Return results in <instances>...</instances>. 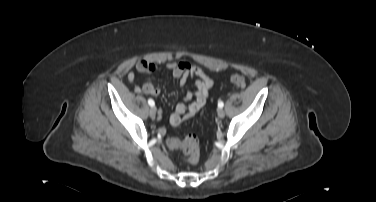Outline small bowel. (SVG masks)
Listing matches in <instances>:
<instances>
[{"label":"small bowel","instance_id":"small-bowel-1","mask_svg":"<svg viewBox=\"0 0 376 202\" xmlns=\"http://www.w3.org/2000/svg\"><path fill=\"white\" fill-rule=\"evenodd\" d=\"M136 70L140 73H155L159 71V67L147 60H139L136 63ZM167 70H170L173 78L179 79L180 86L183 90V98L190 103H179L174 112L170 115L169 122L172 126H178L183 121H186L195 116L199 110L206 104L210 96V90L213 87V80L205 71L197 66L192 65L186 61L171 62L165 65ZM127 78L130 83L135 81V73L128 72ZM189 78H195V91H187L185 87ZM134 91L136 93L143 92L147 95L156 97L160 91L152 83H145L142 87L135 85ZM162 118V111L158 110L157 119Z\"/></svg>","mask_w":376,"mask_h":202}]
</instances>
